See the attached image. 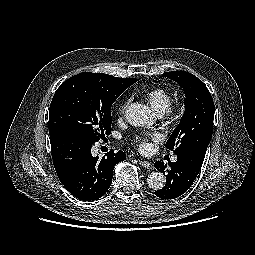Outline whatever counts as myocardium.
<instances>
[{
    "label": "myocardium",
    "instance_id": "f54148a6",
    "mask_svg": "<svg viewBox=\"0 0 255 255\" xmlns=\"http://www.w3.org/2000/svg\"><path fill=\"white\" fill-rule=\"evenodd\" d=\"M164 113L168 122L176 125L183 117L184 107L182 105L170 106Z\"/></svg>",
    "mask_w": 255,
    "mask_h": 255
}]
</instances>
